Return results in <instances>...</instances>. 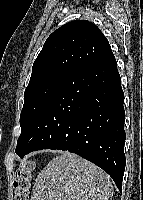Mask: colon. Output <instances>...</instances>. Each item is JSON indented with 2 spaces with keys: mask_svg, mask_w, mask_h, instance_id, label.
<instances>
[{
  "mask_svg": "<svg viewBox=\"0 0 143 200\" xmlns=\"http://www.w3.org/2000/svg\"><path fill=\"white\" fill-rule=\"evenodd\" d=\"M34 168V161L27 160L17 169L13 182L15 190L14 200H29V192Z\"/></svg>",
  "mask_w": 143,
  "mask_h": 200,
  "instance_id": "1",
  "label": "colon"
}]
</instances>
